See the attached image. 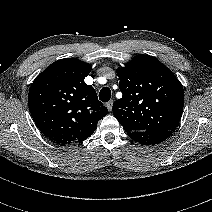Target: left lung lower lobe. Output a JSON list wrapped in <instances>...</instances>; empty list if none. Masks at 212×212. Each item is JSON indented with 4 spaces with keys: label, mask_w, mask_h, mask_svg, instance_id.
I'll return each instance as SVG.
<instances>
[{
    "label": "left lung lower lobe",
    "mask_w": 212,
    "mask_h": 212,
    "mask_svg": "<svg viewBox=\"0 0 212 212\" xmlns=\"http://www.w3.org/2000/svg\"><path fill=\"white\" fill-rule=\"evenodd\" d=\"M130 138L144 145H154L165 141L171 134L169 130H145L127 133Z\"/></svg>",
    "instance_id": "1"
}]
</instances>
